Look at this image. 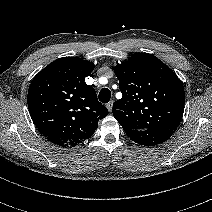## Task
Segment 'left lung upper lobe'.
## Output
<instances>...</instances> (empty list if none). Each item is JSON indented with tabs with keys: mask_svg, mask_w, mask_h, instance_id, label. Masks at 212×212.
I'll list each match as a JSON object with an SVG mask.
<instances>
[{
	"mask_svg": "<svg viewBox=\"0 0 212 212\" xmlns=\"http://www.w3.org/2000/svg\"><path fill=\"white\" fill-rule=\"evenodd\" d=\"M123 97L113 115L126 134L148 128L176 130L184 112L185 94L177 75L157 57L136 53L114 67Z\"/></svg>",
	"mask_w": 212,
	"mask_h": 212,
	"instance_id": "5c2ea615",
	"label": "left lung upper lobe"
}]
</instances>
